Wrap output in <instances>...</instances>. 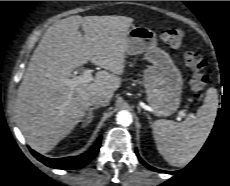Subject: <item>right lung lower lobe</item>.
Returning a JSON list of instances; mask_svg holds the SVG:
<instances>
[{"label":"right lung lower lobe","mask_w":230,"mask_h":186,"mask_svg":"<svg viewBox=\"0 0 230 186\" xmlns=\"http://www.w3.org/2000/svg\"><path fill=\"white\" fill-rule=\"evenodd\" d=\"M101 137L98 138L95 145L86 153L79 156L65 157L59 159H50L31 150V153L45 165L55 169H75L88 164L98 153L100 148Z\"/></svg>","instance_id":"right-lung-lower-lobe-1"}]
</instances>
